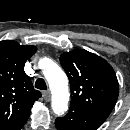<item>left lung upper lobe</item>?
<instances>
[{
    "instance_id": "obj_1",
    "label": "left lung upper lobe",
    "mask_w": 130,
    "mask_h": 130,
    "mask_svg": "<svg viewBox=\"0 0 130 130\" xmlns=\"http://www.w3.org/2000/svg\"><path fill=\"white\" fill-rule=\"evenodd\" d=\"M60 63L70 81V107L88 110L106 119L119 94V84L112 66L83 49L62 53Z\"/></svg>"
}]
</instances>
